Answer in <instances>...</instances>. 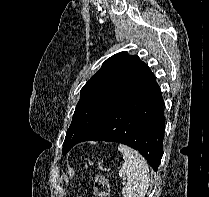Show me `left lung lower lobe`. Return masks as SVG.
<instances>
[{
    "instance_id": "left-lung-lower-lobe-1",
    "label": "left lung lower lobe",
    "mask_w": 209,
    "mask_h": 197,
    "mask_svg": "<svg viewBox=\"0 0 209 197\" xmlns=\"http://www.w3.org/2000/svg\"><path fill=\"white\" fill-rule=\"evenodd\" d=\"M165 128L161 90L150 71L118 97L77 142L112 141L138 150L154 171L163 155Z\"/></svg>"
}]
</instances>
